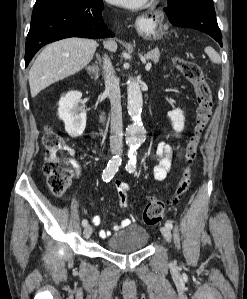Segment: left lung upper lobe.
Segmentation results:
<instances>
[{
    "label": "left lung upper lobe",
    "mask_w": 247,
    "mask_h": 299,
    "mask_svg": "<svg viewBox=\"0 0 247 299\" xmlns=\"http://www.w3.org/2000/svg\"><path fill=\"white\" fill-rule=\"evenodd\" d=\"M167 1H168V7L172 8L181 0H167ZM202 1L209 3V4H213L212 0H202Z\"/></svg>",
    "instance_id": "obj_1"
}]
</instances>
